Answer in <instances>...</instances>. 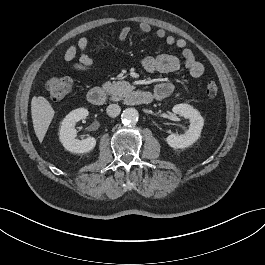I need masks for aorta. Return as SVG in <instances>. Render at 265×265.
<instances>
[{
	"label": "aorta",
	"instance_id": "obj_1",
	"mask_svg": "<svg viewBox=\"0 0 265 265\" xmlns=\"http://www.w3.org/2000/svg\"><path fill=\"white\" fill-rule=\"evenodd\" d=\"M139 113L135 108H127L122 113V120L128 125H133L138 120Z\"/></svg>",
	"mask_w": 265,
	"mask_h": 265
}]
</instances>
